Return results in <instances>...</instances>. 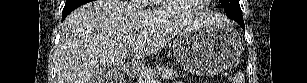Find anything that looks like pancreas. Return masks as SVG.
I'll return each instance as SVG.
<instances>
[{
	"label": "pancreas",
	"mask_w": 307,
	"mask_h": 83,
	"mask_svg": "<svg viewBox=\"0 0 307 83\" xmlns=\"http://www.w3.org/2000/svg\"><path fill=\"white\" fill-rule=\"evenodd\" d=\"M148 76L151 77H162L163 79H174L179 76L177 70L173 68H168L164 66H155L154 68H149L140 73L138 82L145 83V79Z\"/></svg>",
	"instance_id": "cf45deb5"
}]
</instances>
